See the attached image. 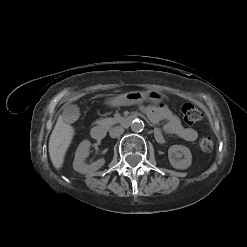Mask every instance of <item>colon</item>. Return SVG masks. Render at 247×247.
Returning a JSON list of instances; mask_svg holds the SVG:
<instances>
[{
    "instance_id": "colon-1",
    "label": "colon",
    "mask_w": 247,
    "mask_h": 247,
    "mask_svg": "<svg viewBox=\"0 0 247 247\" xmlns=\"http://www.w3.org/2000/svg\"><path fill=\"white\" fill-rule=\"evenodd\" d=\"M183 119L187 124H194L201 119V112L192 103H185L181 108ZM200 148L208 152L213 148V140L209 136H203L199 140Z\"/></svg>"
}]
</instances>
